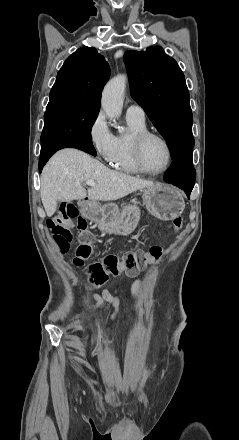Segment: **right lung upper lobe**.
I'll list each match as a JSON object with an SVG mask.
<instances>
[{
	"instance_id": "right-lung-upper-lobe-1",
	"label": "right lung upper lobe",
	"mask_w": 239,
	"mask_h": 440,
	"mask_svg": "<svg viewBox=\"0 0 239 440\" xmlns=\"http://www.w3.org/2000/svg\"><path fill=\"white\" fill-rule=\"evenodd\" d=\"M109 77V64L95 48H79L58 72L48 105L99 112L101 92Z\"/></svg>"
}]
</instances>
